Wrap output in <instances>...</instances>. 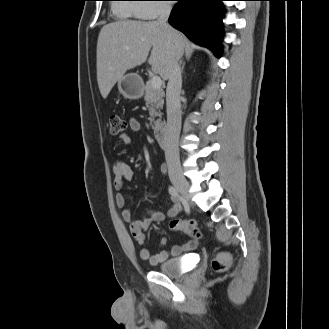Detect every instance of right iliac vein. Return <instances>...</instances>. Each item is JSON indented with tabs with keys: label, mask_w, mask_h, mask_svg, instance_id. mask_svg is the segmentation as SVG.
Listing matches in <instances>:
<instances>
[{
	"label": "right iliac vein",
	"mask_w": 329,
	"mask_h": 329,
	"mask_svg": "<svg viewBox=\"0 0 329 329\" xmlns=\"http://www.w3.org/2000/svg\"><path fill=\"white\" fill-rule=\"evenodd\" d=\"M171 181L173 185L180 191V193L186 197L189 198V184L183 177H172Z\"/></svg>",
	"instance_id": "obj_1"
}]
</instances>
